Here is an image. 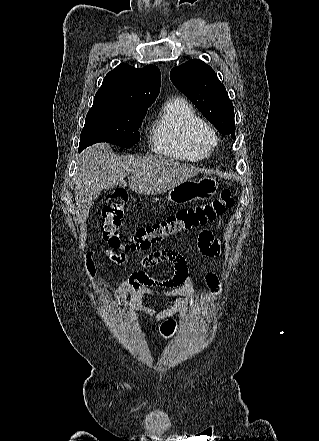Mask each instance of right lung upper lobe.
<instances>
[{
    "instance_id": "cb5924a9",
    "label": "right lung upper lobe",
    "mask_w": 319,
    "mask_h": 441,
    "mask_svg": "<svg viewBox=\"0 0 319 441\" xmlns=\"http://www.w3.org/2000/svg\"><path fill=\"white\" fill-rule=\"evenodd\" d=\"M160 84V70L155 65L138 69L121 63L105 76L93 106L149 107L160 92Z\"/></svg>"
}]
</instances>
